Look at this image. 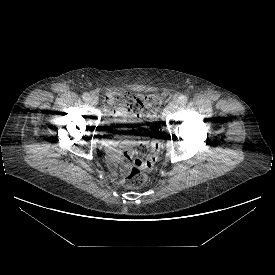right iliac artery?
<instances>
[{"mask_svg": "<svg viewBox=\"0 0 275 275\" xmlns=\"http://www.w3.org/2000/svg\"><path fill=\"white\" fill-rule=\"evenodd\" d=\"M82 98H83V100L88 101L89 98H90V95H89L88 93H84V94L82 95Z\"/></svg>", "mask_w": 275, "mask_h": 275, "instance_id": "1", "label": "right iliac artery"}]
</instances>
